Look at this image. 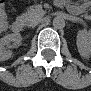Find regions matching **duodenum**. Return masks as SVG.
<instances>
[{"mask_svg": "<svg viewBox=\"0 0 91 91\" xmlns=\"http://www.w3.org/2000/svg\"><path fill=\"white\" fill-rule=\"evenodd\" d=\"M12 31L15 33H20L24 29V21L22 19H17L12 23Z\"/></svg>", "mask_w": 91, "mask_h": 91, "instance_id": "410a0bca", "label": "duodenum"}]
</instances>
